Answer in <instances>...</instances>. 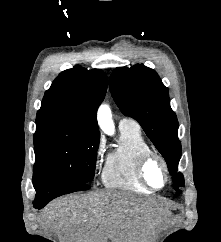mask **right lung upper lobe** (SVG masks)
Instances as JSON below:
<instances>
[{"label": "right lung upper lobe", "instance_id": "obj_1", "mask_svg": "<svg viewBox=\"0 0 221 242\" xmlns=\"http://www.w3.org/2000/svg\"><path fill=\"white\" fill-rule=\"evenodd\" d=\"M107 86L108 79L101 70L76 66L63 71L44 95L36 128L71 126L100 135L96 112Z\"/></svg>", "mask_w": 221, "mask_h": 242}]
</instances>
